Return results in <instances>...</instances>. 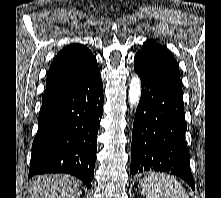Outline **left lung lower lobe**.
Here are the masks:
<instances>
[{
    "label": "left lung lower lobe",
    "mask_w": 221,
    "mask_h": 198,
    "mask_svg": "<svg viewBox=\"0 0 221 198\" xmlns=\"http://www.w3.org/2000/svg\"><path fill=\"white\" fill-rule=\"evenodd\" d=\"M134 70L142 91L133 123L131 174L172 173L195 189L185 142L182 88L139 55L134 58Z\"/></svg>",
    "instance_id": "0a47b994"
}]
</instances>
